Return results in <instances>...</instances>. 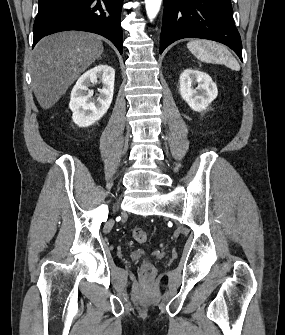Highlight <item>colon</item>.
<instances>
[{
  "instance_id": "obj_1",
  "label": "colon",
  "mask_w": 285,
  "mask_h": 335,
  "mask_svg": "<svg viewBox=\"0 0 285 335\" xmlns=\"http://www.w3.org/2000/svg\"><path fill=\"white\" fill-rule=\"evenodd\" d=\"M133 237L137 243L145 244L148 241V234L141 228H135L133 230ZM154 267L151 263L146 262L142 266V274L146 277L152 275Z\"/></svg>"
}]
</instances>
